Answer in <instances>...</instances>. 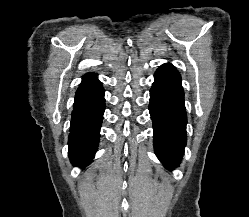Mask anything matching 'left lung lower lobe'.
Here are the masks:
<instances>
[{
  "label": "left lung lower lobe",
  "instance_id": "left-lung-lower-lobe-1",
  "mask_svg": "<svg viewBox=\"0 0 249 217\" xmlns=\"http://www.w3.org/2000/svg\"><path fill=\"white\" fill-rule=\"evenodd\" d=\"M149 111L155 153L167 168L173 169L184 154L187 116L181 76L170 63L161 65L154 74Z\"/></svg>",
  "mask_w": 249,
  "mask_h": 217
}]
</instances>
